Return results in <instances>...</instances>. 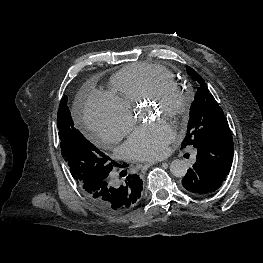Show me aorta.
Masks as SVG:
<instances>
[{"instance_id": "762f6f07", "label": "aorta", "mask_w": 263, "mask_h": 263, "mask_svg": "<svg viewBox=\"0 0 263 263\" xmlns=\"http://www.w3.org/2000/svg\"><path fill=\"white\" fill-rule=\"evenodd\" d=\"M170 171L175 177H184L188 171L187 161L183 159L173 160L170 164Z\"/></svg>"}]
</instances>
